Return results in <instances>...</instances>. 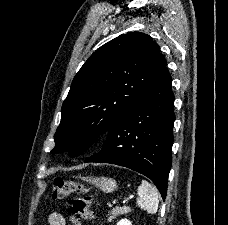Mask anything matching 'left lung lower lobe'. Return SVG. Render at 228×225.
<instances>
[{
  "label": "left lung lower lobe",
  "mask_w": 228,
  "mask_h": 225,
  "mask_svg": "<svg viewBox=\"0 0 228 225\" xmlns=\"http://www.w3.org/2000/svg\"><path fill=\"white\" fill-rule=\"evenodd\" d=\"M174 94L165 67L155 83L108 130L100 152L85 160L124 166L150 178L163 200L171 168Z\"/></svg>",
  "instance_id": "left-lung-lower-lobe-1"
}]
</instances>
